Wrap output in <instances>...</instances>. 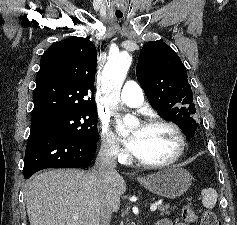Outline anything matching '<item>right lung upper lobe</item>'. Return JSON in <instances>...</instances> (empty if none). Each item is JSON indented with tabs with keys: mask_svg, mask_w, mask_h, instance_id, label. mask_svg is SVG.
Returning a JSON list of instances; mask_svg holds the SVG:
<instances>
[{
	"mask_svg": "<svg viewBox=\"0 0 237 225\" xmlns=\"http://www.w3.org/2000/svg\"><path fill=\"white\" fill-rule=\"evenodd\" d=\"M97 51L82 37L54 43L43 54L33 95L32 121L94 109Z\"/></svg>",
	"mask_w": 237,
	"mask_h": 225,
	"instance_id": "1",
	"label": "right lung upper lobe"
}]
</instances>
